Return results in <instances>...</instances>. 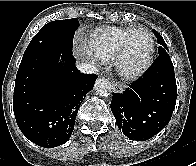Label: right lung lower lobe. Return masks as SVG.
I'll return each instance as SVG.
<instances>
[{
	"instance_id": "1",
	"label": "right lung lower lobe",
	"mask_w": 196,
	"mask_h": 166,
	"mask_svg": "<svg viewBox=\"0 0 196 166\" xmlns=\"http://www.w3.org/2000/svg\"><path fill=\"white\" fill-rule=\"evenodd\" d=\"M66 61L64 66L57 59ZM72 55L45 50L23 56L14 88L13 110L21 132L33 143L53 148L71 136L83 97L97 76L80 73Z\"/></svg>"
}]
</instances>
